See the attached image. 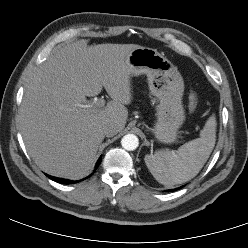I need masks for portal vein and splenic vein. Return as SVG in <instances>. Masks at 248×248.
<instances>
[{
	"label": "portal vein and splenic vein",
	"instance_id": "portal-vein-and-splenic-vein-1",
	"mask_svg": "<svg viewBox=\"0 0 248 248\" xmlns=\"http://www.w3.org/2000/svg\"><path fill=\"white\" fill-rule=\"evenodd\" d=\"M105 101L103 99H98L90 104H79L78 106L83 109H91L93 111L100 110L104 107Z\"/></svg>",
	"mask_w": 248,
	"mask_h": 248
}]
</instances>
